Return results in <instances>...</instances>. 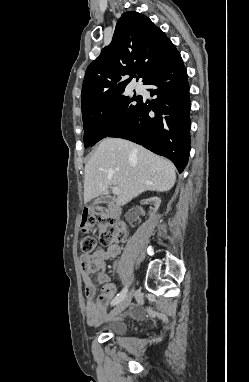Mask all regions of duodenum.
Instances as JSON below:
<instances>
[{
  "instance_id": "duodenum-1",
  "label": "duodenum",
  "mask_w": 249,
  "mask_h": 382,
  "mask_svg": "<svg viewBox=\"0 0 249 382\" xmlns=\"http://www.w3.org/2000/svg\"><path fill=\"white\" fill-rule=\"evenodd\" d=\"M110 212L114 216H119L120 215V209L116 204H111L110 205Z\"/></svg>"
}]
</instances>
